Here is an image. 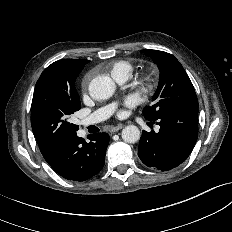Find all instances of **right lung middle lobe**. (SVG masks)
Instances as JSON below:
<instances>
[{
  "instance_id": "dd1d6c3e",
  "label": "right lung middle lobe",
  "mask_w": 232,
  "mask_h": 232,
  "mask_svg": "<svg viewBox=\"0 0 232 232\" xmlns=\"http://www.w3.org/2000/svg\"><path fill=\"white\" fill-rule=\"evenodd\" d=\"M88 62L47 67L40 75L31 105V126L40 151L57 150L79 129L69 118L81 107L75 80Z\"/></svg>"
}]
</instances>
